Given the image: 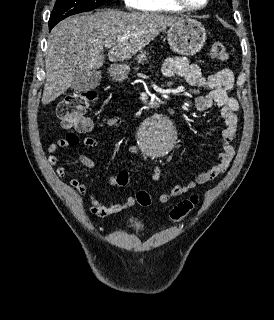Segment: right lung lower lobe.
<instances>
[{
  "instance_id": "right-lung-lower-lobe-1",
  "label": "right lung lower lobe",
  "mask_w": 274,
  "mask_h": 320,
  "mask_svg": "<svg viewBox=\"0 0 274 320\" xmlns=\"http://www.w3.org/2000/svg\"><path fill=\"white\" fill-rule=\"evenodd\" d=\"M56 24H49V31L55 26Z\"/></svg>"
}]
</instances>
